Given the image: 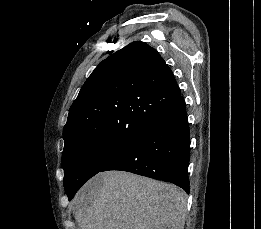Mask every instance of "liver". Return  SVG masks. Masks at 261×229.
I'll list each match as a JSON object with an SVG mask.
<instances>
[{
	"mask_svg": "<svg viewBox=\"0 0 261 229\" xmlns=\"http://www.w3.org/2000/svg\"><path fill=\"white\" fill-rule=\"evenodd\" d=\"M186 203L175 185L107 171L76 193L72 213L78 229H184Z\"/></svg>",
	"mask_w": 261,
	"mask_h": 229,
	"instance_id": "1",
	"label": "liver"
}]
</instances>
